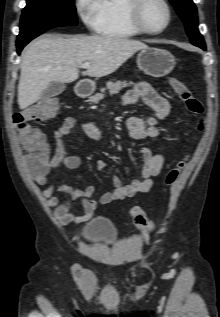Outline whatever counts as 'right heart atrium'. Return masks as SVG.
<instances>
[{"label": "right heart atrium", "instance_id": "d8ad5b80", "mask_svg": "<svg viewBox=\"0 0 220 317\" xmlns=\"http://www.w3.org/2000/svg\"><path fill=\"white\" fill-rule=\"evenodd\" d=\"M74 8L82 23L91 30H96L98 0H75Z\"/></svg>", "mask_w": 220, "mask_h": 317}]
</instances>
